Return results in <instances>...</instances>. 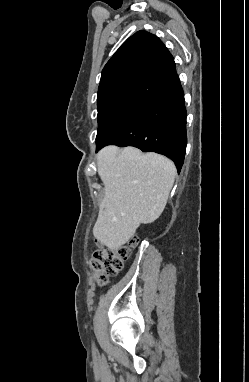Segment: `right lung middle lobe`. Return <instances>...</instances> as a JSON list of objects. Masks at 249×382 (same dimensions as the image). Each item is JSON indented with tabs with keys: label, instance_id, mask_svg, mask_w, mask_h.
<instances>
[{
	"label": "right lung middle lobe",
	"instance_id": "dd1d6c3e",
	"mask_svg": "<svg viewBox=\"0 0 249 382\" xmlns=\"http://www.w3.org/2000/svg\"><path fill=\"white\" fill-rule=\"evenodd\" d=\"M149 103L144 99L126 98L98 108L96 148L124 130Z\"/></svg>",
	"mask_w": 249,
	"mask_h": 382
}]
</instances>
